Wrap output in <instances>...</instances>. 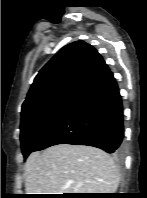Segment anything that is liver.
Listing matches in <instances>:
<instances>
[{"label":"liver","instance_id":"1","mask_svg":"<svg viewBox=\"0 0 147 198\" xmlns=\"http://www.w3.org/2000/svg\"><path fill=\"white\" fill-rule=\"evenodd\" d=\"M26 194L114 193L120 175L103 150L58 144L31 153L25 163Z\"/></svg>","mask_w":147,"mask_h":198}]
</instances>
